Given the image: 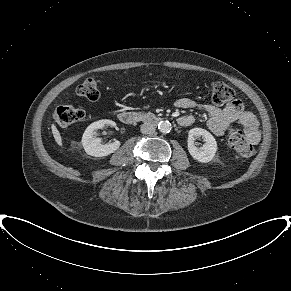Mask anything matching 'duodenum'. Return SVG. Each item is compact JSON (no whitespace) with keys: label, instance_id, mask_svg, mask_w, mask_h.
I'll return each mask as SVG.
<instances>
[{"label":"duodenum","instance_id":"1","mask_svg":"<svg viewBox=\"0 0 291 291\" xmlns=\"http://www.w3.org/2000/svg\"><path fill=\"white\" fill-rule=\"evenodd\" d=\"M118 119L124 124H132L137 121H144L150 123L159 122L160 118L154 114H140L131 111H122L118 114Z\"/></svg>","mask_w":291,"mask_h":291}]
</instances>
